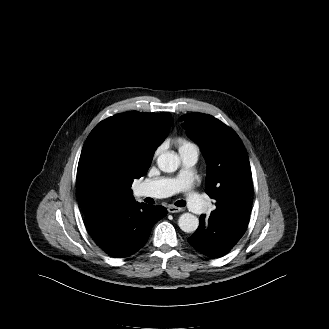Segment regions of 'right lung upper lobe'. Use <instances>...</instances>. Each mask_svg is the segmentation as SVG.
<instances>
[{
  "label": "right lung upper lobe",
  "mask_w": 329,
  "mask_h": 329,
  "mask_svg": "<svg viewBox=\"0 0 329 329\" xmlns=\"http://www.w3.org/2000/svg\"><path fill=\"white\" fill-rule=\"evenodd\" d=\"M172 122L169 113L126 112L103 120L91 131L77 169L84 214L101 205L134 200L132 182L146 174Z\"/></svg>",
  "instance_id": "1"
}]
</instances>
